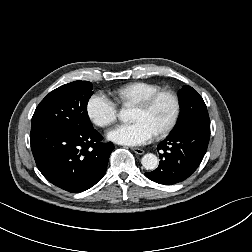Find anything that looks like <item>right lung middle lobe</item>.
Returning <instances> with one entry per match:
<instances>
[{
	"instance_id": "obj_1",
	"label": "right lung middle lobe",
	"mask_w": 252,
	"mask_h": 252,
	"mask_svg": "<svg viewBox=\"0 0 252 252\" xmlns=\"http://www.w3.org/2000/svg\"><path fill=\"white\" fill-rule=\"evenodd\" d=\"M92 84L74 81L50 92L37 106L31 132L46 129L89 130L92 127L87 103L93 94Z\"/></svg>"
}]
</instances>
